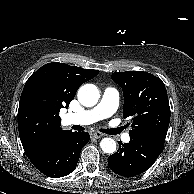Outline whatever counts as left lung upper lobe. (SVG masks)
<instances>
[{
	"mask_svg": "<svg viewBox=\"0 0 194 194\" xmlns=\"http://www.w3.org/2000/svg\"><path fill=\"white\" fill-rule=\"evenodd\" d=\"M124 93L123 117L129 118L131 130L165 141L170 107L167 91L161 79L144 71H125L112 74Z\"/></svg>",
	"mask_w": 194,
	"mask_h": 194,
	"instance_id": "1",
	"label": "left lung upper lobe"
}]
</instances>
